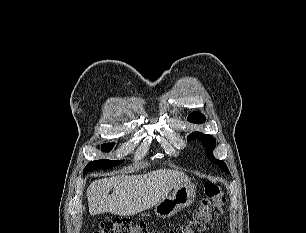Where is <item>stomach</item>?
<instances>
[{
    "mask_svg": "<svg viewBox=\"0 0 306 233\" xmlns=\"http://www.w3.org/2000/svg\"><path fill=\"white\" fill-rule=\"evenodd\" d=\"M195 195V187L190 181L177 184L171 195L154 206V212L161 218H169L192 204Z\"/></svg>",
    "mask_w": 306,
    "mask_h": 233,
    "instance_id": "obj_1",
    "label": "stomach"
}]
</instances>
